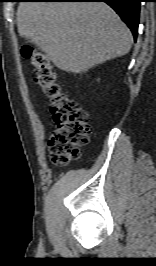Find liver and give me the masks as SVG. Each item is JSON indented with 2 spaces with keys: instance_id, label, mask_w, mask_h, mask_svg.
<instances>
[{
  "instance_id": "1",
  "label": "liver",
  "mask_w": 156,
  "mask_h": 266,
  "mask_svg": "<svg viewBox=\"0 0 156 266\" xmlns=\"http://www.w3.org/2000/svg\"><path fill=\"white\" fill-rule=\"evenodd\" d=\"M16 15L20 35L63 71L86 72L131 48L130 30L102 2H21Z\"/></svg>"
}]
</instances>
